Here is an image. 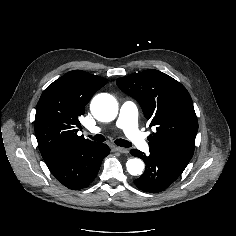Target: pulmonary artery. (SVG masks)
<instances>
[{
	"label": "pulmonary artery",
	"instance_id": "1",
	"mask_svg": "<svg viewBox=\"0 0 236 236\" xmlns=\"http://www.w3.org/2000/svg\"><path fill=\"white\" fill-rule=\"evenodd\" d=\"M138 110L136 105L131 101L122 104L116 125L122 129L128 139L140 150L147 152L149 145L145 135L138 128ZM89 131L93 134L101 132L99 127H91Z\"/></svg>",
	"mask_w": 236,
	"mask_h": 236
}]
</instances>
